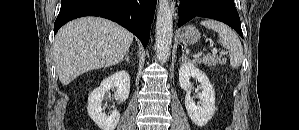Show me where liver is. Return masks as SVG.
Instances as JSON below:
<instances>
[{"label": "liver", "instance_id": "obj_1", "mask_svg": "<svg viewBox=\"0 0 299 130\" xmlns=\"http://www.w3.org/2000/svg\"><path fill=\"white\" fill-rule=\"evenodd\" d=\"M133 42V34L115 22L84 17L64 25L56 34L53 56L63 85L95 69L122 61Z\"/></svg>", "mask_w": 299, "mask_h": 130}]
</instances>
